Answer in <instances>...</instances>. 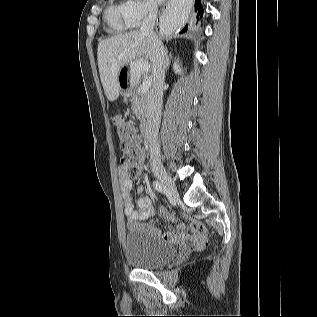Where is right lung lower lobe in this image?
I'll use <instances>...</instances> for the list:
<instances>
[{
  "mask_svg": "<svg viewBox=\"0 0 317 317\" xmlns=\"http://www.w3.org/2000/svg\"><path fill=\"white\" fill-rule=\"evenodd\" d=\"M201 0H195V11L197 12V18L199 20V16L202 17L203 15V7L202 4H200ZM187 31V25L185 26V28L182 30V32Z\"/></svg>",
  "mask_w": 317,
  "mask_h": 317,
  "instance_id": "obj_1",
  "label": "right lung lower lobe"
}]
</instances>
